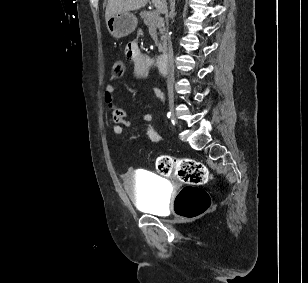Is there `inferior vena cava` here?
<instances>
[{
  "mask_svg": "<svg viewBox=\"0 0 308 283\" xmlns=\"http://www.w3.org/2000/svg\"><path fill=\"white\" fill-rule=\"evenodd\" d=\"M163 12L167 13V7L166 5L163 8ZM169 53H168V76H167V84H168V88H170L172 86V84L174 83V69H173V49H172V45L174 44V37L170 36L169 37Z\"/></svg>",
  "mask_w": 308,
  "mask_h": 283,
  "instance_id": "obj_1",
  "label": "inferior vena cava"
}]
</instances>
